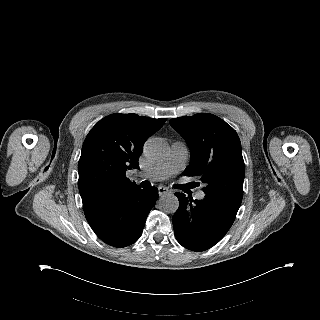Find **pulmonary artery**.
Segmentation results:
<instances>
[{
    "label": "pulmonary artery",
    "instance_id": "e3ab8cb5",
    "mask_svg": "<svg viewBox=\"0 0 320 320\" xmlns=\"http://www.w3.org/2000/svg\"><path fill=\"white\" fill-rule=\"evenodd\" d=\"M187 155L188 150L186 145L180 141H176L172 144L170 153L163 163L151 167L139 174V177L150 181L164 180L178 172L185 165ZM196 198L203 200L205 198L204 192L198 191Z\"/></svg>",
    "mask_w": 320,
    "mask_h": 320
}]
</instances>
